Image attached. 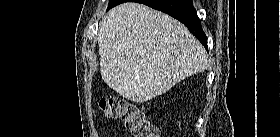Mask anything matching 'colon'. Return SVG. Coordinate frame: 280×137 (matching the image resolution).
Returning a JSON list of instances; mask_svg holds the SVG:
<instances>
[{
  "mask_svg": "<svg viewBox=\"0 0 280 137\" xmlns=\"http://www.w3.org/2000/svg\"><path fill=\"white\" fill-rule=\"evenodd\" d=\"M101 111L108 118H121L134 137H158V127L145 116L142 108L133 102L117 97L102 98Z\"/></svg>",
  "mask_w": 280,
  "mask_h": 137,
  "instance_id": "colon-1",
  "label": "colon"
}]
</instances>
